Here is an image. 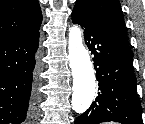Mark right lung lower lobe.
Masks as SVG:
<instances>
[{"label":"right lung lower lobe","mask_w":145,"mask_h":124,"mask_svg":"<svg viewBox=\"0 0 145 124\" xmlns=\"http://www.w3.org/2000/svg\"><path fill=\"white\" fill-rule=\"evenodd\" d=\"M40 32L0 38V124H22L38 102Z\"/></svg>","instance_id":"right-lung-lower-lobe-1"}]
</instances>
